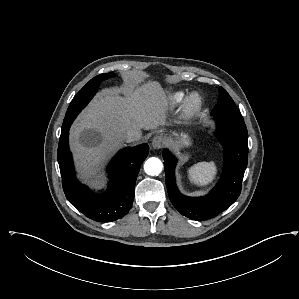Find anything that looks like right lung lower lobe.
Here are the masks:
<instances>
[{
	"label": "right lung lower lobe",
	"instance_id": "right-lung-lower-lobe-1",
	"mask_svg": "<svg viewBox=\"0 0 299 299\" xmlns=\"http://www.w3.org/2000/svg\"><path fill=\"white\" fill-rule=\"evenodd\" d=\"M68 130L61 132L57 153L66 198L80 212L95 221L111 222L123 217L132 206L137 175L149 152L148 144L119 151L107 168L108 190L96 195L75 177L68 146Z\"/></svg>",
	"mask_w": 299,
	"mask_h": 299
}]
</instances>
